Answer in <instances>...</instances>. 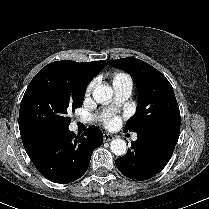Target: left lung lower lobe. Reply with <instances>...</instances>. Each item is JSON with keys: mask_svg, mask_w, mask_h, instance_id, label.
Instances as JSON below:
<instances>
[{"mask_svg": "<svg viewBox=\"0 0 209 209\" xmlns=\"http://www.w3.org/2000/svg\"><path fill=\"white\" fill-rule=\"evenodd\" d=\"M179 131L146 130L137 133L126 155L116 159L119 171L130 179L143 181L160 173L169 162Z\"/></svg>", "mask_w": 209, "mask_h": 209, "instance_id": "obj_1", "label": "left lung lower lobe"}]
</instances>
